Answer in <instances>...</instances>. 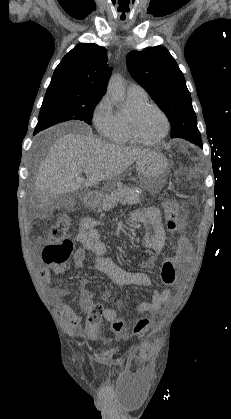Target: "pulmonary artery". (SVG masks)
<instances>
[{"label": "pulmonary artery", "mask_w": 231, "mask_h": 419, "mask_svg": "<svg viewBox=\"0 0 231 419\" xmlns=\"http://www.w3.org/2000/svg\"><path fill=\"white\" fill-rule=\"evenodd\" d=\"M128 93L136 94L140 96H147L145 89L136 83L130 84L128 87Z\"/></svg>", "instance_id": "pulmonary-artery-1"}]
</instances>
